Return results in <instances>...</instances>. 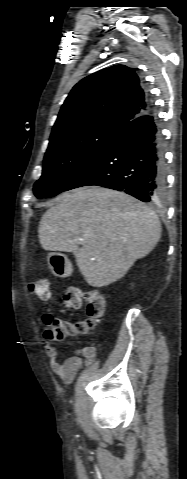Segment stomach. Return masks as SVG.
<instances>
[{"label": "stomach", "mask_w": 187, "mask_h": 479, "mask_svg": "<svg viewBox=\"0 0 187 479\" xmlns=\"http://www.w3.org/2000/svg\"><path fill=\"white\" fill-rule=\"evenodd\" d=\"M51 272L57 277H68L72 273V264L65 254L50 253L47 257Z\"/></svg>", "instance_id": "obj_1"}]
</instances>
